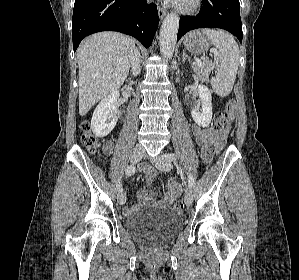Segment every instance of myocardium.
Returning a JSON list of instances; mask_svg holds the SVG:
<instances>
[{"mask_svg": "<svg viewBox=\"0 0 299 280\" xmlns=\"http://www.w3.org/2000/svg\"><path fill=\"white\" fill-rule=\"evenodd\" d=\"M202 4V0L180 1L176 3V9L184 14H190L197 11Z\"/></svg>", "mask_w": 299, "mask_h": 280, "instance_id": "1", "label": "myocardium"}]
</instances>
